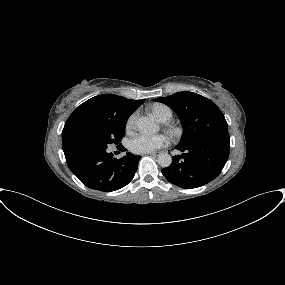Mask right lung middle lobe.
I'll list each match as a JSON object with an SVG mask.
<instances>
[{
    "instance_id": "1",
    "label": "right lung middle lobe",
    "mask_w": 285,
    "mask_h": 285,
    "mask_svg": "<svg viewBox=\"0 0 285 285\" xmlns=\"http://www.w3.org/2000/svg\"><path fill=\"white\" fill-rule=\"evenodd\" d=\"M127 120H112L88 133L78 143V146H95L107 148L109 144L117 143L125 136Z\"/></svg>"
}]
</instances>
